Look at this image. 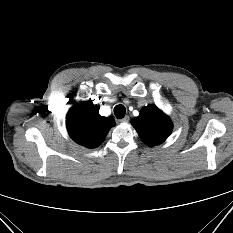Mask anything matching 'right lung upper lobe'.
<instances>
[{"label": "right lung upper lobe", "instance_id": "cb5924a9", "mask_svg": "<svg viewBox=\"0 0 233 233\" xmlns=\"http://www.w3.org/2000/svg\"><path fill=\"white\" fill-rule=\"evenodd\" d=\"M114 125V119L101 116L99 107L91 101L77 104L66 116V127L70 137L88 148L98 147Z\"/></svg>", "mask_w": 233, "mask_h": 233}]
</instances>
